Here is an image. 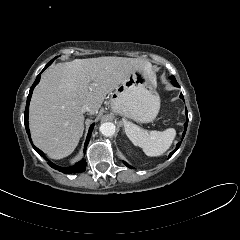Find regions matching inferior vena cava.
<instances>
[{
    "label": "inferior vena cava",
    "instance_id": "1",
    "mask_svg": "<svg viewBox=\"0 0 240 240\" xmlns=\"http://www.w3.org/2000/svg\"><path fill=\"white\" fill-rule=\"evenodd\" d=\"M90 110H91V108H90V106H88V105H84V106L82 107V112H83V113H85V112H90Z\"/></svg>",
    "mask_w": 240,
    "mask_h": 240
}]
</instances>
